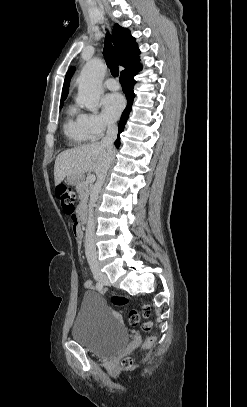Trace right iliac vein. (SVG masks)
Wrapping results in <instances>:
<instances>
[{"label": "right iliac vein", "mask_w": 247, "mask_h": 407, "mask_svg": "<svg viewBox=\"0 0 247 407\" xmlns=\"http://www.w3.org/2000/svg\"><path fill=\"white\" fill-rule=\"evenodd\" d=\"M91 270H92V273H93L95 279L98 282H100L104 285H107L109 283L107 276L101 272L98 264L91 265Z\"/></svg>", "instance_id": "63e3f726"}]
</instances>
